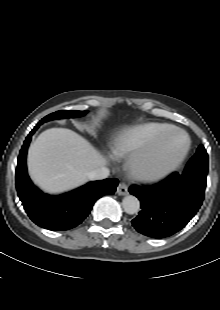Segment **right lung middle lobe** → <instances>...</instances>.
Instances as JSON below:
<instances>
[{
  "label": "right lung middle lobe",
  "instance_id": "obj_1",
  "mask_svg": "<svg viewBox=\"0 0 220 310\" xmlns=\"http://www.w3.org/2000/svg\"><path fill=\"white\" fill-rule=\"evenodd\" d=\"M87 113V111H57L52 114L47 115L44 117L40 123H44L53 119H61V118H68V117H76V116H83Z\"/></svg>",
  "mask_w": 220,
  "mask_h": 310
}]
</instances>
